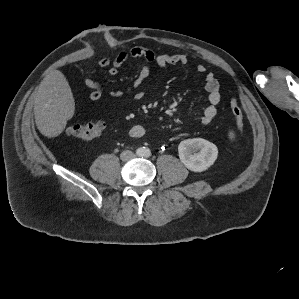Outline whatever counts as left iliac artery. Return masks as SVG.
<instances>
[{
    "label": "left iliac artery",
    "mask_w": 299,
    "mask_h": 299,
    "mask_svg": "<svg viewBox=\"0 0 299 299\" xmlns=\"http://www.w3.org/2000/svg\"><path fill=\"white\" fill-rule=\"evenodd\" d=\"M150 154H151V153H150V151H149V150H146V151H145V156H146V157H149V156H150Z\"/></svg>",
    "instance_id": "obj_1"
}]
</instances>
